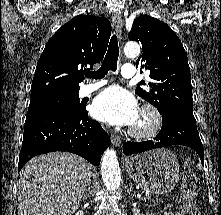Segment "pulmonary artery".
Listing matches in <instances>:
<instances>
[{"instance_id":"e3ab8cb5","label":"pulmonary artery","mask_w":221,"mask_h":215,"mask_svg":"<svg viewBox=\"0 0 221 215\" xmlns=\"http://www.w3.org/2000/svg\"><path fill=\"white\" fill-rule=\"evenodd\" d=\"M136 74L135 67L131 64H124L121 68V75L124 78H132ZM108 83L106 79H98L92 83L86 84L81 87L79 91V95L81 97L91 94L92 92L98 90L99 88L103 87L105 84Z\"/></svg>"}]
</instances>
